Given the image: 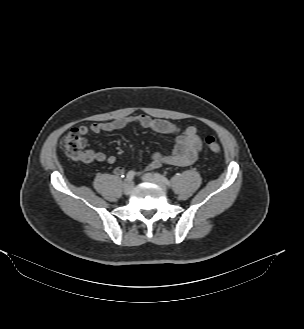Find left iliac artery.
Returning <instances> with one entry per match:
<instances>
[{
    "instance_id": "44dca946",
    "label": "left iliac artery",
    "mask_w": 304,
    "mask_h": 329,
    "mask_svg": "<svg viewBox=\"0 0 304 329\" xmlns=\"http://www.w3.org/2000/svg\"><path fill=\"white\" fill-rule=\"evenodd\" d=\"M155 176L158 178L159 181L164 183L167 187H169V188L171 187V183L166 177H164L163 175H161L159 173H155Z\"/></svg>"
}]
</instances>
